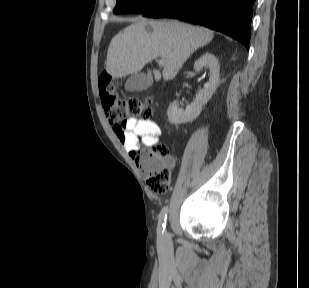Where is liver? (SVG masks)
Instances as JSON below:
<instances>
[{
  "label": "liver",
  "mask_w": 309,
  "mask_h": 288,
  "mask_svg": "<svg viewBox=\"0 0 309 288\" xmlns=\"http://www.w3.org/2000/svg\"><path fill=\"white\" fill-rule=\"evenodd\" d=\"M214 33L204 27L179 21H154L143 18L119 32L110 42L106 71L115 78L135 74L154 59L165 60L162 75L153 70L155 80L173 79L186 60L212 41Z\"/></svg>",
  "instance_id": "1"
}]
</instances>
